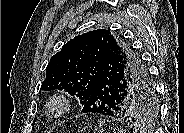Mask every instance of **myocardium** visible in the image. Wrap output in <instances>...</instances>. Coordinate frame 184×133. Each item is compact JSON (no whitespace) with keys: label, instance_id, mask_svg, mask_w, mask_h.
Instances as JSON below:
<instances>
[{"label":"myocardium","instance_id":"myocardium-1","mask_svg":"<svg viewBox=\"0 0 184 133\" xmlns=\"http://www.w3.org/2000/svg\"><path fill=\"white\" fill-rule=\"evenodd\" d=\"M45 110L51 118H60L71 110V101L64 93H55L46 103Z\"/></svg>","mask_w":184,"mask_h":133}]
</instances>
